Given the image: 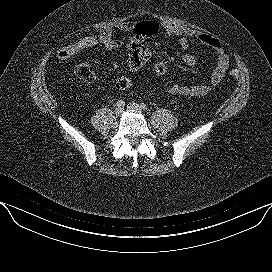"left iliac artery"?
I'll return each mask as SVG.
<instances>
[{"label":"left iliac artery","instance_id":"1","mask_svg":"<svg viewBox=\"0 0 272 272\" xmlns=\"http://www.w3.org/2000/svg\"><path fill=\"white\" fill-rule=\"evenodd\" d=\"M140 107L143 109V110H146L147 109V105L145 103H140Z\"/></svg>","mask_w":272,"mask_h":272}]
</instances>
